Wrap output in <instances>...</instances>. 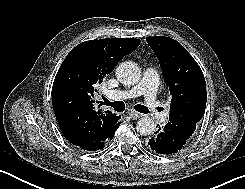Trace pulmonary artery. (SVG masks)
Instances as JSON below:
<instances>
[{
  "mask_svg": "<svg viewBox=\"0 0 245 189\" xmlns=\"http://www.w3.org/2000/svg\"><path fill=\"white\" fill-rule=\"evenodd\" d=\"M158 79L159 75L155 69L146 68L138 84L130 88L114 90L109 94V97L115 101H122L144 95L146 104L153 108L157 104L156 90Z\"/></svg>",
  "mask_w": 245,
  "mask_h": 189,
  "instance_id": "pulmonary-artery-1",
  "label": "pulmonary artery"
}]
</instances>
